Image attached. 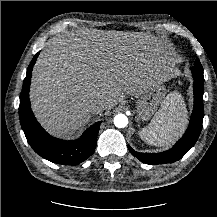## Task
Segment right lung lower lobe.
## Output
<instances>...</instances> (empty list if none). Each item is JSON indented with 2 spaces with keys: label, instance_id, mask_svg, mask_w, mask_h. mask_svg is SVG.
<instances>
[{
  "label": "right lung lower lobe",
  "instance_id": "right-lung-lower-lobe-1",
  "mask_svg": "<svg viewBox=\"0 0 217 217\" xmlns=\"http://www.w3.org/2000/svg\"><path fill=\"white\" fill-rule=\"evenodd\" d=\"M32 59L20 94L19 117L28 143L41 157L58 164L76 165L90 157L96 147L101 121L88 128L75 141H65L50 136L35 119L29 100L32 67L38 57Z\"/></svg>",
  "mask_w": 217,
  "mask_h": 217
}]
</instances>
